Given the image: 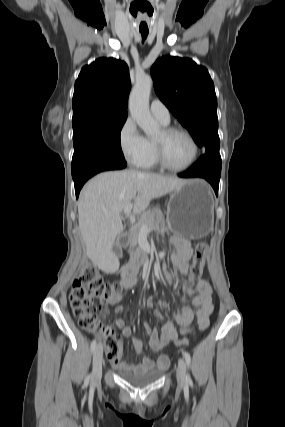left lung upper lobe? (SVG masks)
<instances>
[{
	"label": "left lung upper lobe",
	"mask_w": 285,
	"mask_h": 427,
	"mask_svg": "<svg viewBox=\"0 0 285 427\" xmlns=\"http://www.w3.org/2000/svg\"><path fill=\"white\" fill-rule=\"evenodd\" d=\"M157 95L206 154H219L217 98L208 70L189 58L162 57L151 68Z\"/></svg>",
	"instance_id": "5c2ea615"
}]
</instances>
